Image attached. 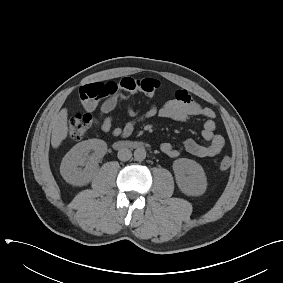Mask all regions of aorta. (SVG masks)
Instances as JSON below:
<instances>
[{
	"instance_id": "aorta-1",
	"label": "aorta",
	"mask_w": 283,
	"mask_h": 283,
	"mask_svg": "<svg viewBox=\"0 0 283 283\" xmlns=\"http://www.w3.org/2000/svg\"><path fill=\"white\" fill-rule=\"evenodd\" d=\"M146 158V150L144 148H137L134 151V159L136 161H143Z\"/></svg>"
}]
</instances>
